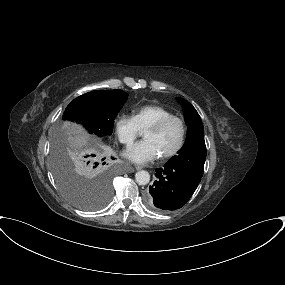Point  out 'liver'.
Wrapping results in <instances>:
<instances>
[{"instance_id": "6515ba94", "label": "liver", "mask_w": 285, "mask_h": 285, "mask_svg": "<svg viewBox=\"0 0 285 285\" xmlns=\"http://www.w3.org/2000/svg\"><path fill=\"white\" fill-rule=\"evenodd\" d=\"M70 153L73 158L77 157V153L88 145L89 136L80 128L74 131V135L70 138Z\"/></svg>"}]
</instances>
